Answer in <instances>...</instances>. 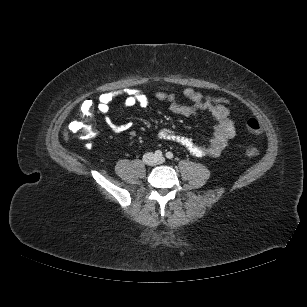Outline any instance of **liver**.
Here are the masks:
<instances>
[{
  "instance_id": "1",
  "label": "liver",
  "mask_w": 307,
  "mask_h": 307,
  "mask_svg": "<svg viewBox=\"0 0 307 307\" xmlns=\"http://www.w3.org/2000/svg\"><path fill=\"white\" fill-rule=\"evenodd\" d=\"M64 139L66 140V141H68V133L67 132H64Z\"/></svg>"
}]
</instances>
